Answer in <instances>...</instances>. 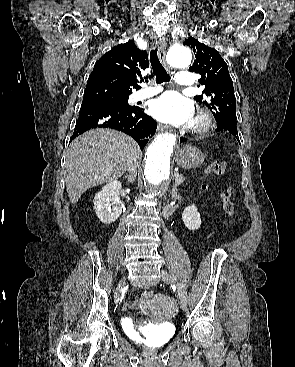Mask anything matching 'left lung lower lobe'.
Returning <instances> with one entry per match:
<instances>
[{"label":"left lung lower lobe","instance_id":"obj_1","mask_svg":"<svg viewBox=\"0 0 295 367\" xmlns=\"http://www.w3.org/2000/svg\"><path fill=\"white\" fill-rule=\"evenodd\" d=\"M216 131L226 132V133L232 134L234 137H236L237 140H239L236 124H234L232 122L218 124L217 128H216ZM186 140H187L186 138H181L180 143L184 142Z\"/></svg>","mask_w":295,"mask_h":367}]
</instances>
